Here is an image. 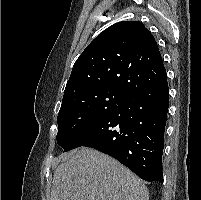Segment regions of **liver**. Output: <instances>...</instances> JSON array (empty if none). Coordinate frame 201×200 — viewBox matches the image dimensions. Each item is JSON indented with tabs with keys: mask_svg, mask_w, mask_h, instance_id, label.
Wrapping results in <instances>:
<instances>
[{
	"mask_svg": "<svg viewBox=\"0 0 201 200\" xmlns=\"http://www.w3.org/2000/svg\"><path fill=\"white\" fill-rule=\"evenodd\" d=\"M49 200H149V192L114 158L81 147L55 170Z\"/></svg>",
	"mask_w": 201,
	"mask_h": 200,
	"instance_id": "1",
	"label": "liver"
}]
</instances>
